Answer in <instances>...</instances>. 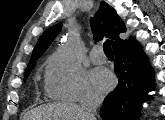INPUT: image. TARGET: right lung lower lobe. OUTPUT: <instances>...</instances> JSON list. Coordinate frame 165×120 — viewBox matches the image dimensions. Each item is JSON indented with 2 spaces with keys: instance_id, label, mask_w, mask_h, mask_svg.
Returning <instances> with one entry per match:
<instances>
[{
  "instance_id": "98d812e1",
  "label": "right lung lower lobe",
  "mask_w": 165,
  "mask_h": 120,
  "mask_svg": "<svg viewBox=\"0 0 165 120\" xmlns=\"http://www.w3.org/2000/svg\"><path fill=\"white\" fill-rule=\"evenodd\" d=\"M113 50L118 85L105 98L100 115L103 120H135L141 104L150 98L148 92L155 87V72L134 38L117 45Z\"/></svg>"
}]
</instances>
